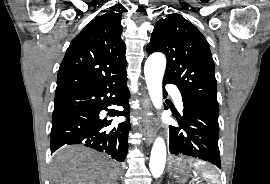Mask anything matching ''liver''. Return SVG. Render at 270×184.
Masks as SVG:
<instances>
[{
	"label": "liver",
	"mask_w": 270,
	"mask_h": 184,
	"mask_svg": "<svg viewBox=\"0 0 270 184\" xmlns=\"http://www.w3.org/2000/svg\"><path fill=\"white\" fill-rule=\"evenodd\" d=\"M116 163L83 146H66L54 157L52 184H117Z\"/></svg>",
	"instance_id": "1"
}]
</instances>
